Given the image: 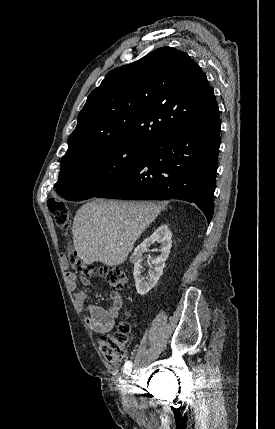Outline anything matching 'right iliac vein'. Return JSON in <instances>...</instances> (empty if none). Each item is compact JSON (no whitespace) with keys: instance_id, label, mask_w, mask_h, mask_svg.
Instances as JSON below:
<instances>
[{"instance_id":"obj_1","label":"right iliac vein","mask_w":275,"mask_h":429,"mask_svg":"<svg viewBox=\"0 0 275 429\" xmlns=\"http://www.w3.org/2000/svg\"><path fill=\"white\" fill-rule=\"evenodd\" d=\"M130 382H131V378L129 376L126 378V380L124 382V398H125V401H127V402L131 401V396L128 394Z\"/></svg>"}]
</instances>
